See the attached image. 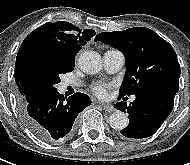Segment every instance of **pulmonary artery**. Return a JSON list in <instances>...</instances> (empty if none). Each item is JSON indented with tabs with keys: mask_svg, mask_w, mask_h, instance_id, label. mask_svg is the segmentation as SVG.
<instances>
[{
	"mask_svg": "<svg viewBox=\"0 0 190 165\" xmlns=\"http://www.w3.org/2000/svg\"><path fill=\"white\" fill-rule=\"evenodd\" d=\"M124 63H125V56L119 50L110 49V50H107L103 54L104 68L109 73L118 72L124 66ZM66 85H68V86H77L79 84L76 83V82H73V81H68L66 83ZM130 100L134 101L135 96H132Z\"/></svg>",
	"mask_w": 190,
	"mask_h": 165,
	"instance_id": "obj_1",
	"label": "pulmonary artery"
}]
</instances>
